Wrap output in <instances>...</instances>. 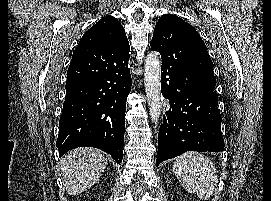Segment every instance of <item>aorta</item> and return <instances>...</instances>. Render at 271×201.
<instances>
[{"mask_svg": "<svg viewBox=\"0 0 271 201\" xmlns=\"http://www.w3.org/2000/svg\"><path fill=\"white\" fill-rule=\"evenodd\" d=\"M160 77L161 68L158 54L151 52L146 56L144 63V85L150 117L154 123H157L162 111Z\"/></svg>", "mask_w": 271, "mask_h": 201, "instance_id": "obj_1", "label": "aorta"}]
</instances>
